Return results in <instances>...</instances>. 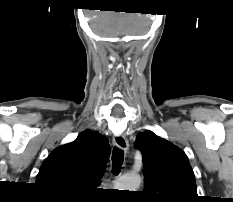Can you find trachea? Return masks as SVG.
<instances>
[{
    "label": "trachea",
    "mask_w": 233,
    "mask_h": 202,
    "mask_svg": "<svg viewBox=\"0 0 233 202\" xmlns=\"http://www.w3.org/2000/svg\"><path fill=\"white\" fill-rule=\"evenodd\" d=\"M124 161V152L121 149L114 148L112 153L113 173L118 174Z\"/></svg>",
    "instance_id": "obj_1"
}]
</instances>
